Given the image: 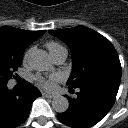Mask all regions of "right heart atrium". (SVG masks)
Masks as SVG:
<instances>
[{"mask_svg": "<svg viewBox=\"0 0 128 128\" xmlns=\"http://www.w3.org/2000/svg\"><path fill=\"white\" fill-rule=\"evenodd\" d=\"M32 51H33V48H29L26 52H25V54H24V61H27L28 59H29V57H30V54L32 53Z\"/></svg>", "mask_w": 128, "mask_h": 128, "instance_id": "1", "label": "right heart atrium"}]
</instances>
